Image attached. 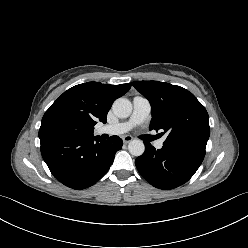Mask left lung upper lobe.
<instances>
[{"instance_id": "obj_1", "label": "left lung upper lobe", "mask_w": 248, "mask_h": 248, "mask_svg": "<svg viewBox=\"0 0 248 248\" xmlns=\"http://www.w3.org/2000/svg\"><path fill=\"white\" fill-rule=\"evenodd\" d=\"M132 85L152 106L150 130L168 133L163 145L205 152L210 135L209 116L192 93L159 81H135Z\"/></svg>"}]
</instances>
